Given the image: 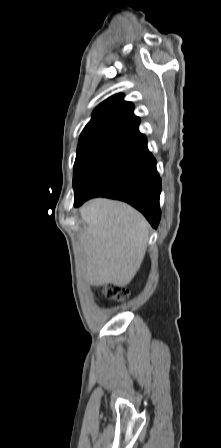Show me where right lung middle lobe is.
I'll use <instances>...</instances> for the list:
<instances>
[{
	"mask_svg": "<svg viewBox=\"0 0 221 448\" xmlns=\"http://www.w3.org/2000/svg\"><path fill=\"white\" fill-rule=\"evenodd\" d=\"M111 146H88L77 149L74 164L73 188L76 196L93 170L113 149Z\"/></svg>",
	"mask_w": 221,
	"mask_h": 448,
	"instance_id": "1",
	"label": "right lung middle lobe"
}]
</instances>
